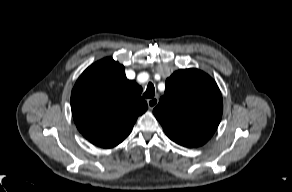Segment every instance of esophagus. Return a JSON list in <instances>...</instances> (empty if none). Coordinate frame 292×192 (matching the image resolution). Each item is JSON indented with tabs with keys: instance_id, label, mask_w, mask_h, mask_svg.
Masks as SVG:
<instances>
[{
	"instance_id": "34e87169",
	"label": "esophagus",
	"mask_w": 292,
	"mask_h": 192,
	"mask_svg": "<svg viewBox=\"0 0 292 192\" xmlns=\"http://www.w3.org/2000/svg\"><path fill=\"white\" fill-rule=\"evenodd\" d=\"M158 98L154 97V98H150L147 100V104L149 109H153L157 104H158Z\"/></svg>"
}]
</instances>
